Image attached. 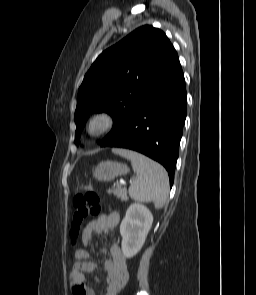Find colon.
<instances>
[{"label":"colon","mask_w":256,"mask_h":295,"mask_svg":"<svg viewBox=\"0 0 256 295\" xmlns=\"http://www.w3.org/2000/svg\"><path fill=\"white\" fill-rule=\"evenodd\" d=\"M74 214L71 222L70 236L76 242L84 221L101 213L102 206L100 198L95 192L77 194L73 198Z\"/></svg>","instance_id":"5ec220e1"}]
</instances>
